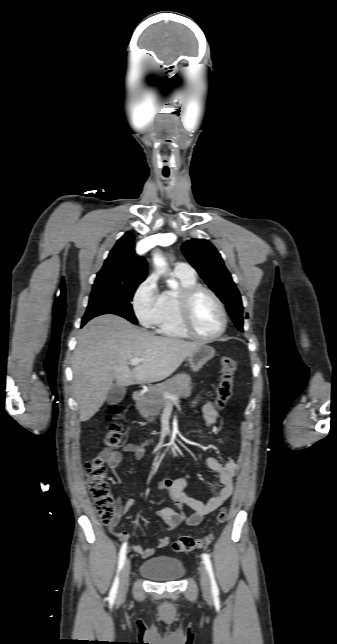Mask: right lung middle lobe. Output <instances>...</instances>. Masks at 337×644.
Wrapping results in <instances>:
<instances>
[{
  "instance_id": "obj_1",
  "label": "right lung middle lobe",
  "mask_w": 337,
  "mask_h": 644,
  "mask_svg": "<svg viewBox=\"0 0 337 644\" xmlns=\"http://www.w3.org/2000/svg\"><path fill=\"white\" fill-rule=\"evenodd\" d=\"M140 283L94 284L82 323L99 315L115 314L137 324L130 302Z\"/></svg>"
}]
</instances>
